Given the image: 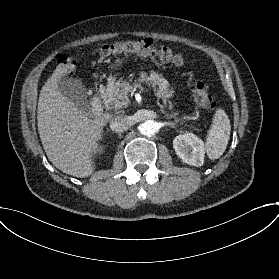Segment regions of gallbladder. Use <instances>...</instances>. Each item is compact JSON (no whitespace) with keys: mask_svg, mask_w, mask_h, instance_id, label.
Instances as JSON below:
<instances>
[{"mask_svg":"<svg viewBox=\"0 0 279 279\" xmlns=\"http://www.w3.org/2000/svg\"><path fill=\"white\" fill-rule=\"evenodd\" d=\"M58 89L70 102L74 103L83 111L90 110L87 98V89L80 79L68 78L62 79L58 83Z\"/></svg>","mask_w":279,"mask_h":279,"instance_id":"1","label":"gallbladder"}]
</instances>
